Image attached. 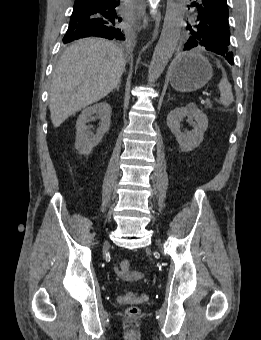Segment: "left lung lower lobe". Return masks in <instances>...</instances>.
<instances>
[{
	"mask_svg": "<svg viewBox=\"0 0 261 340\" xmlns=\"http://www.w3.org/2000/svg\"><path fill=\"white\" fill-rule=\"evenodd\" d=\"M192 5L197 9V15L194 18V22L199 25L203 24L209 19L221 20L228 19V6L226 0H197L192 2ZM198 40L195 38H189L186 40L184 50H190L197 47ZM231 65L233 62V53H230L225 58Z\"/></svg>",
	"mask_w": 261,
	"mask_h": 340,
	"instance_id": "obj_1",
	"label": "left lung lower lobe"
}]
</instances>
